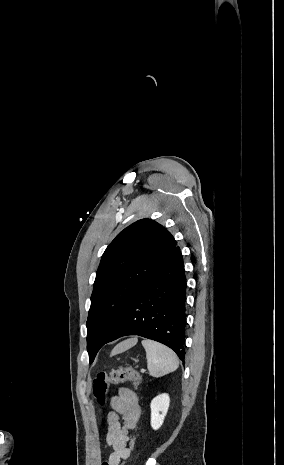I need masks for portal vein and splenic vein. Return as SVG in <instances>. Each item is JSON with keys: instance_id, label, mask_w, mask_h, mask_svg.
<instances>
[{"instance_id": "obj_1", "label": "portal vein and splenic vein", "mask_w": 284, "mask_h": 465, "mask_svg": "<svg viewBox=\"0 0 284 465\" xmlns=\"http://www.w3.org/2000/svg\"><path fill=\"white\" fill-rule=\"evenodd\" d=\"M141 373H145L144 369H141Z\"/></svg>"}]
</instances>
